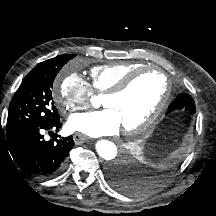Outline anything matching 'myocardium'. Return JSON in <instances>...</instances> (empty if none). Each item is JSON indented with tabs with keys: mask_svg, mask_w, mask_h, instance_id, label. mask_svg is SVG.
I'll use <instances>...</instances> for the list:
<instances>
[{
	"mask_svg": "<svg viewBox=\"0 0 216 216\" xmlns=\"http://www.w3.org/2000/svg\"><path fill=\"white\" fill-rule=\"evenodd\" d=\"M148 71H157L164 78L165 80L164 94L160 102L158 103V105L155 107V109L143 121H141L139 124L135 126L123 128L122 131L126 135H134V134H139L144 132L149 127H151L155 123V121L166 110L172 93V85L168 75L161 68L157 66H153V65L141 66L131 71L126 76H124L117 85H115L112 89L108 90L104 94L103 98H108V97L119 96L125 93L138 76Z\"/></svg>",
	"mask_w": 216,
	"mask_h": 216,
	"instance_id": "f54148a6",
	"label": "myocardium"
}]
</instances>
